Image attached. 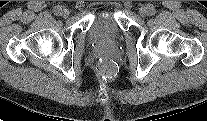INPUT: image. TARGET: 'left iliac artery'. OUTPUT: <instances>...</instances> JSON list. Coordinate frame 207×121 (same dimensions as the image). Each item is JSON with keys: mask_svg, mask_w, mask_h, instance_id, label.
<instances>
[{"mask_svg": "<svg viewBox=\"0 0 207 121\" xmlns=\"http://www.w3.org/2000/svg\"><path fill=\"white\" fill-rule=\"evenodd\" d=\"M149 14L154 15L155 14V9L152 5L149 6Z\"/></svg>", "mask_w": 207, "mask_h": 121, "instance_id": "44dca946", "label": "left iliac artery"}]
</instances>
